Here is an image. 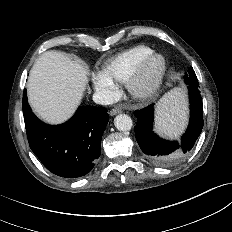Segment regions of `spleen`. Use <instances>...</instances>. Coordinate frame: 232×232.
Masks as SVG:
<instances>
[{"instance_id":"3e777b00","label":"spleen","mask_w":232,"mask_h":232,"mask_svg":"<svg viewBox=\"0 0 232 232\" xmlns=\"http://www.w3.org/2000/svg\"><path fill=\"white\" fill-rule=\"evenodd\" d=\"M186 102L181 89L173 90L160 104L157 112L159 129L163 134L177 136L185 125Z\"/></svg>"}]
</instances>
